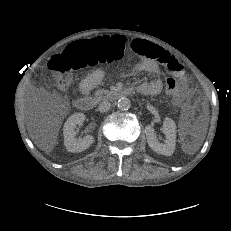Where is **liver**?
Segmentation results:
<instances>
[{"instance_id":"liver-1","label":"liver","mask_w":231,"mask_h":231,"mask_svg":"<svg viewBox=\"0 0 231 231\" xmlns=\"http://www.w3.org/2000/svg\"><path fill=\"white\" fill-rule=\"evenodd\" d=\"M37 145L40 149L45 150V151H51L53 149V145L50 146H45L42 143L37 142Z\"/></svg>"}]
</instances>
